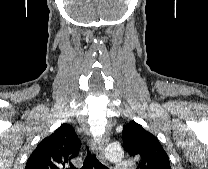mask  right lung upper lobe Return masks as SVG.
I'll return each instance as SVG.
<instances>
[{"label":"right lung upper lobe","instance_id":"1","mask_svg":"<svg viewBox=\"0 0 208 169\" xmlns=\"http://www.w3.org/2000/svg\"><path fill=\"white\" fill-rule=\"evenodd\" d=\"M80 146L74 128L64 123L38 144L28 158L25 169H75L71 160L78 156Z\"/></svg>","mask_w":208,"mask_h":169}]
</instances>
